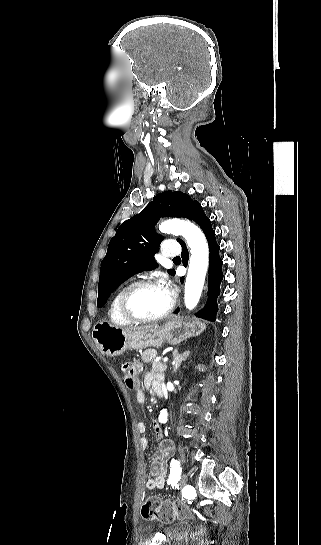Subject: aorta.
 <instances>
[{
    "label": "aorta",
    "instance_id": "aorta-1",
    "mask_svg": "<svg viewBox=\"0 0 321 545\" xmlns=\"http://www.w3.org/2000/svg\"><path fill=\"white\" fill-rule=\"evenodd\" d=\"M162 233L182 235L190 248L189 269L185 283V305L193 310L200 299L209 263V250L202 231L193 223L184 220H167L159 226ZM167 410L163 409L159 421H167Z\"/></svg>",
    "mask_w": 321,
    "mask_h": 545
}]
</instances>
